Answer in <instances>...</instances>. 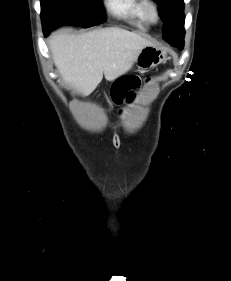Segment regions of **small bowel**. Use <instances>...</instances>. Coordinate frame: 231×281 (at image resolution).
Returning a JSON list of instances; mask_svg holds the SVG:
<instances>
[{
  "label": "small bowel",
  "instance_id": "1",
  "mask_svg": "<svg viewBox=\"0 0 231 281\" xmlns=\"http://www.w3.org/2000/svg\"><path fill=\"white\" fill-rule=\"evenodd\" d=\"M150 78L143 79L135 74H123L115 78L110 87V96L117 105L124 101L133 102L136 99L137 91L142 85L150 83Z\"/></svg>",
  "mask_w": 231,
  "mask_h": 281
}]
</instances>
